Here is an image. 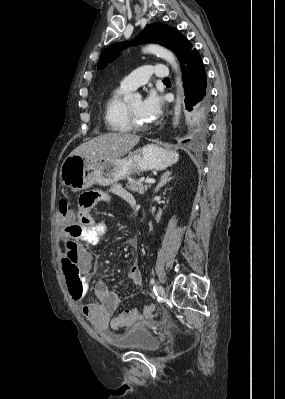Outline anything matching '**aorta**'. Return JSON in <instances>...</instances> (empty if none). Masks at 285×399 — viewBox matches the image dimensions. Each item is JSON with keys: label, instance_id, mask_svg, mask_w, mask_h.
<instances>
[{"label": "aorta", "instance_id": "762f6f07", "mask_svg": "<svg viewBox=\"0 0 285 399\" xmlns=\"http://www.w3.org/2000/svg\"><path fill=\"white\" fill-rule=\"evenodd\" d=\"M143 53L155 54L158 57L164 59L172 66L174 71L177 73L176 84L178 86V93H177V97H176V105L174 108V119H173V125L177 126L179 124V119H180V115H181V92H182V83H181V79L179 76V64L177 62V59H176L175 55L170 50H168L162 46L156 45V44H149V45L145 46L143 48ZM140 98H141V96L139 93H132L127 96V99L129 101L137 100Z\"/></svg>", "mask_w": 285, "mask_h": 399}]
</instances>
